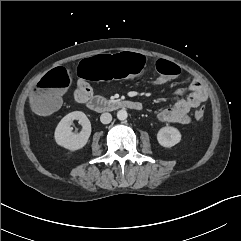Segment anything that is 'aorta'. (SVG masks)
<instances>
[{
	"label": "aorta",
	"mask_w": 241,
	"mask_h": 241,
	"mask_svg": "<svg viewBox=\"0 0 241 241\" xmlns=\"http://www.w3.org/2000/svg\"><path fill=\"white\" fill-rule=\"evenodd\" d=\"M128 117V113L126 110L121 109L117 112V118L121 121L126 120Z\"/></svg>",
	"instance_id": "aorta-1"
}]
</instances>
